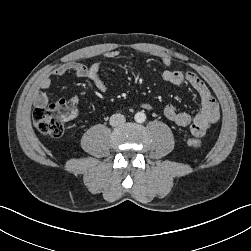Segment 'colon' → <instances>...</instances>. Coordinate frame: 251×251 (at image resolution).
<instances>
[{
    "label": "colon",
    "instance_id": "1",
    "mask_svg": "<svg viewBox=\"0 0 251 251\" xmlns=\"http://www.w3.org/2000/svg\"><path fill=\"white\" fill-rule=\"evenodd\" d=\"M76 113V107L62 99L49 105L37 106L33 113V123L42 134L60 137L67 122L72 120ZM190 144L193 147L201 146V142L197 139H191Z\"/></svg>",
    "mask_w": 251,
    "mask_h": 251
}]
</instances>
